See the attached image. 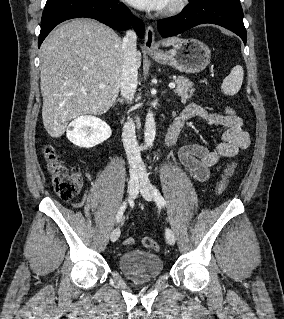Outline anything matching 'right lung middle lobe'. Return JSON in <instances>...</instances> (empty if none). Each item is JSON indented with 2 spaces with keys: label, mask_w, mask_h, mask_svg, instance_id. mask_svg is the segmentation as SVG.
Returning a JSON list of instances; mask_svg holds the SVG:
<instances>
[{
  "label": "right lung middle lobe",
  "mask_w": 284,
  "mask_h": 319,
  "mask_svg": "<svg viewBox=\"0 0 284 319\" xmlns=\"http://www.w3.org/2000/svg\"><path fill=\"white\" fill-rule=\"evenodd\" d=\"M58 1H61V0H47L46 5H49Z\"/></svg>",
  "instance_id": "dd1d6c3e"
}]
</instances>
